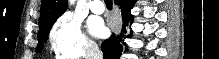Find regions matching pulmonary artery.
Listing matches in <instances>:
<instances>
[{"label":"pulmonary artery","mask_w":219,"mask_h":59,"mask_svg":"<svg viewBox=\"0 0 219 59\" xmlns=\"http://www.w3.org/2000/svg\"><path fill=\"white\" fill-rule=\"evenodd\" d=\"M90 9L95 14H102L105 11V6L101 0H94L90 3Z\"/></svg>","instance_id":"obj_1"}]
</instances>
